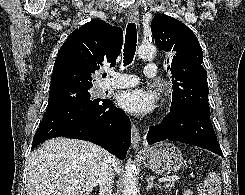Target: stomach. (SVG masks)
<instances>
[{"instance_id":"obj_1","label":"stomach","mask_w":245,"mask_h":195,"mask_svg":"<svg viewBox=\"0 0 245 195\" xmlns=\"http://www.w3.org/2000/svg\"><path fill=\"white\" fill-rule=\"evenodd\" d=\"M141 158L145 167L157 174L169 175L183 165V156L178 147L164 142L144 149Z\"/></svg>"}]
</instances>
